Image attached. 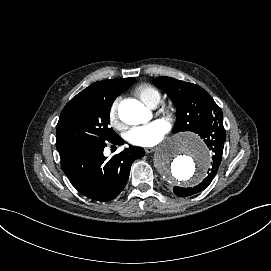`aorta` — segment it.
I'll list each match as a JSON object with an SVG mask.
<instances>
[{
    "instance_id": "1",
    "label": "aorta",
    "mask_w": 271,
    "mask_h": 271,
    "mask_svg": "<svg viewBox=\"0 0 271 271\" xmlns=\"http://www.w3.org/2000/svg\"><path fill=\"white\" fill-rule=\"evenodd\" d=\"M120 119L139 124L148 117V110L137 100H125L118 108ZM160 175L171 184H197L210 166L209 150L196 136L183 134L166 141L154 157Z\"/></svg>"
}]
</instances>
